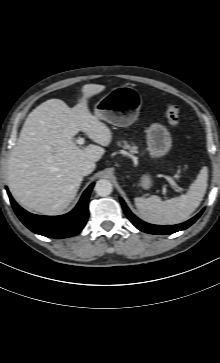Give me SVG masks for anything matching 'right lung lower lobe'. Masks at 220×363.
<instances>
[{
  "instance_id": "1",
  "label": "right lung lower lobe",
  "mask_w": 220,
  "mask_h": 363,
  "mask_svg": "<svg viewBox=\"0 0 220 363\" xmlns=\"http://www.w3.org/2000/svg\"><path fill=\"white\" fill-rule=\"evenodd\" d=\"M93 186L94 183L85 190L79 203L70 213L62 216L31 214L21 208L9 192L8 195L15 213L31 231L50 238H67L75 236L85 226L88 219V199Z\"/></svg>"
}]
</instances>
